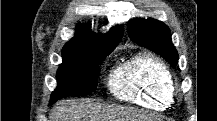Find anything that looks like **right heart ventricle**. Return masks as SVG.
Listing matches in <instances>:
<instances>
[{
  "mask_svg": "<svg viewBox=\"0 0 217 121\" xmlns=\"http://www.w3.org/2000/svg\"><path fill=\"white\" fill-rule=\"evenodd\" d=\"M171 75L156 56L141 53L120 65L112 74L109 87L119 99L162 109L172 101Z\"/></svg>",
  "mask_w": 217,
  "mask_h": 121,
  "instance_id": "right-heart-ventricle-1",
  "label": "right heart ventricle"
}]
</instances>
